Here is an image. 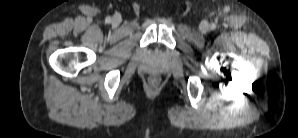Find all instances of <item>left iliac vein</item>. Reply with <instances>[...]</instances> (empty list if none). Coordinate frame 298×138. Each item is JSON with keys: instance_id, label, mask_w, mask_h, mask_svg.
Here are the masks:
<instances>
[{"instance_id": "obj_1", "label": "left iliac vein", "mask_w": 298, "mask_h": 138, "mask_svg": "<svg viewBox=\"0 0 298 138\" xmlns=\"http://www.w3.org/2000/svg\"><path fill=\"white\" fill-rule=\"evenodd\" d=\"M199 30H200L202 33H206V32H208V30H209L208 22H206V21H202V22L200 23Z\"/></svg>"}]
</instances>
